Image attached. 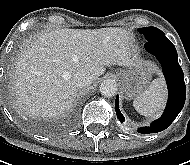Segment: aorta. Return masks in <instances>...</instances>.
<instances>
[{
  "label": "aorta",
  "instance_id": "aorta-1",
  "mask_svg": "<svg viewBox=\"0 0 190 165\" xmlns=\"http://www.w3.org/2000/svg\"><path fill=\"white\" fill-rule=\"evenodd\" d=\"M102 95L112 97L117 93V83L113 79H106L100 85Z\"/></svg>",
  "mask_w": 190,
  "mask_h": 165
}]
</instances>
